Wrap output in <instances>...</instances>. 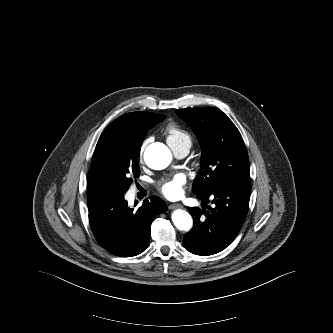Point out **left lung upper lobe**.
<instances>
[{"label":"left lung upper lobe","mask_w":333,"mask_h":333,"mask_svg":"<svg viewBox=\"0 0 333 333\" xmlns=\"http://www.w3.org/2000/svg\"><path fill=\"white\" fill-rule=\"evenodd\" d=\"M202 146L201 169L192 190L206 194L237 181L250 180L249 160L242 136L232 121L216 108L177 110Z\"/></svg>","instance_id":"left-lung-upper-lobe-1"}]
</instances>
